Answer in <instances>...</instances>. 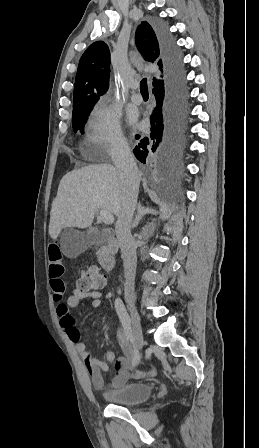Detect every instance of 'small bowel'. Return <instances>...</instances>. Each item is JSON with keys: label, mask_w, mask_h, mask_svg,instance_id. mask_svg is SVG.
Returning <instances> with one entry per match:
<instances>
[{"label": "small bowel", "mask_w": 259, "mask_h": 448, "mask_svg": "<svg viewBox=\"0 0 259 448\" xmlns=\"http://www.w3.org/2000/svg\"><path fill=\"white\" fill-rule=\"evenodd\" d=\"M47 254L50 285L54 299L58 301L56 313L60 326L68 338L75 344L76 350L81 355L92 386L97 390H103L108 387L117 388L124 385L131 378L143 379L153 377L156 374L155 368L132 372L129 370V359L134 356V352L122 329L117 331V340L123 353L122 357L116 359L114 352L111 350L106 352V360L96 359L91 355L85 343L81 341L80 332L74 325L70 309L79 306L82 302H85L90 308H97L100 305V295L83 293L78 288H75L66 302H61L65 294V283L62 279L65 267L62 262V253L56 240L49 243ZM109 364L114 365L115 375L110 382H107L104 375L109 372Z\"/></svg>", "instance_id": "c3829d8e"}]
</instances>
